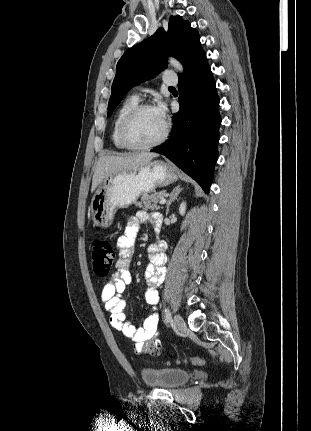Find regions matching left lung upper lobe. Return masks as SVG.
<instances>
[{
    "instance_id": "obj_1",
    "label": "left lung upper lobe",
    "mask_w": 311,
    "mask_h": 431,
    "mask_svg": "<svg viewBox=\"0 0 311 431\" xmlns=\"http://www.w3.org/2000/svg\"><path fill=\"white\" fill-rule=\"evenodd\" d=\"M199 38L197 30L191 28L188 21L181 16H171L167 32L159 28L150 38L126 51L116 66L107 116H111L132 87L163 70L168 56L177 58L186 70L195 56L203 51Z\"/></svg>"
}]
</instances>
